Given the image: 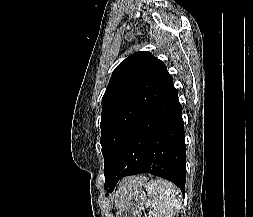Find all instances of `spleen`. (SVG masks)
Segmentation results:
<instances>
[{"label": "spleen", "instance_id": "spleen-1", "mask_svg": "<svg viewBox=\"0 0 253 217\" xmlns=\"http://www.w3.org/2000/svg\"><path fill=\"white\" fill-rule=\"evenodd\" d=\"M145 188L149 196L147 206L153 209V217L178 215L181 208L180 191L172 182L163 179L150 180Z\"/></svg>", "mask_w": 253, "mask_h": 217}]
</instances>
